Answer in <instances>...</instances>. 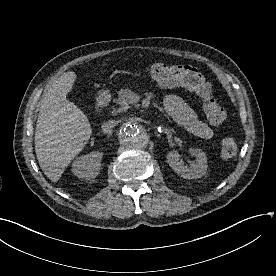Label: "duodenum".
<instances>
[{
  "mask_svg": "<svg viewBox=\"0 0 276 276\" xmlns=\"http://www.w3.org/2000/svg\"><path fill=\"white\" fill-rule=\"evenodd\" d=\"M110 102V94L107 92H101L97 97V110L101 111Z\"/></svg>",
  "mask_w": 276,
  "mask_h": 276,
  "instance_id": "obj_1",
  "label": "duodenum"
}]
</instances>
